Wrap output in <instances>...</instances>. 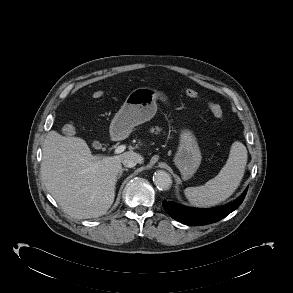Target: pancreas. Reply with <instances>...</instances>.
<instances>
[{
  "instance_id": "1",
  "label": "pancreas",
  "mask_w": 293,
  "mask_h": 293,
  "mask_svg": "<svg viewBox=\"0 0 293 293\" xmlns=\"http://www.w3.org/2000/svg\"><path fill=\"white\" fill-rule=\"evenodd\" d=\"M154 131H155V129L152 128V129H151V132L153 133ZM159 131H160V128L156 127V131H155V133L157 134Z\"/></svg>"
}]
</instances>
